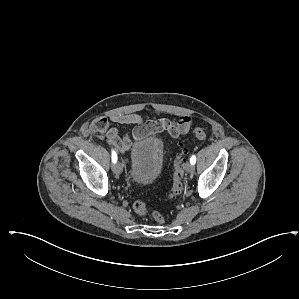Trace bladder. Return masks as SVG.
I'll list each match as a JSON object with an SVG mask.
<instances>
[{"label": "bladder", "mask_w": 299, "mask_h": 299, "mask_svg": "<svg viewBox=\"0 0 299 299\" xmlns=\"http://www.w3.org/2000/svg\"><path fill=\"white\" fill-rule=\"evenodd\" d=\"M163 149L155 139L136 142L130 152V179L136 185L153 183L162 168Z\"/></svg>", "instance_id": "bladder-1"}]
</instances>
